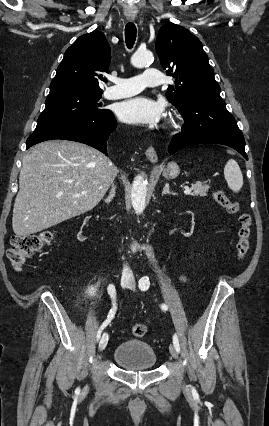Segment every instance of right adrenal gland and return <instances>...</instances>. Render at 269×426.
<instances>
[{"mask_svg": "<svg viewBox=\"0 0 269 426\" xmlns=\"http://www.w3.org/2000/svg\"><path fill=\"white\" fill-rule=\"evenodd\" d=\"M115 194H116V186L114 184H112L111 185V190L109 192V196L106 199H104V201L107 204H109L113 200V198L115 197Z\"/></svg>", "mask_w": 269, "mask_h": 426, "instance_id": "right-adrenal-gland-1", "label": "right adrenal gland"}]
</instances>
